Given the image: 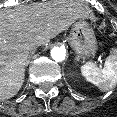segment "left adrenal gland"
Here are the masks:
<instances>
[{
  "label": "left adrenal gland",
  "instance_id": "obj_1",
  "mask_svg": "<svg viewBox=\"0 0 117 117\" xmlns=\"http://www.w3.org/2000/svg\"><path fill=\"white\" fill-rule=\"evenodd\" d=\"M76 60H77V61H79V60H80L78 56H76Z\"/></svg>",
  "mask_w": 117,
  "mask_h": 117
}]
</instances>
